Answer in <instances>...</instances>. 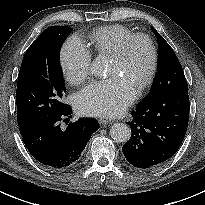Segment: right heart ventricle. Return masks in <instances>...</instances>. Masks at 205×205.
<instances>
[{
    "mask_svg": "<svg viewBox=\"0 0 205 205\" xmlns=\"http://www.w3.org/2000/svg\"><path fill=\"white\" fill-rule=\"evenodd\" d=\"M135 33L123 25H109L96 29L89 35V43L96 55L113 56L122 43Z\"/></svg>",
    "mask_w": 205,
    "mask_h": 205,
    "instance_id": "1",
    "label": "right heart ventricle"
}]
</instances>
